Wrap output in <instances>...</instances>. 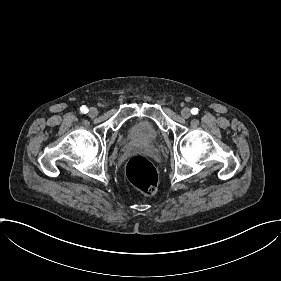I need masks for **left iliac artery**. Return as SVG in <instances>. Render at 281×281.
I'll return each instance as SVG.
<instances>
[{
	"label": "left iliac artery",
	"mask_w": 281,
	"mask_h": 281,
	"mask_svg": "<svg viewBox=\"0 0 281 281\" xmlns=\"http://www.w3.org/2000/svg\"><path fill=\"white\" fill-rule=\"evenodd\" d=\"M191 113H192L193 115H196V114L198 113V108H193V109L191 110Z\"/></svg>",
	"instance_id": "1"
}]
</instances>
